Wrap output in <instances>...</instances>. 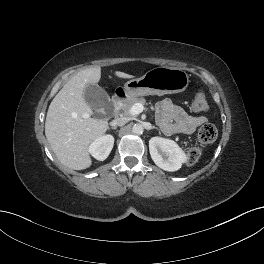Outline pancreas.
I'll return each mask as SVG.
<instances>
[{"instance_id": "cf45deb5", "label": "pancreas", "mask_w": 264, "mask_h": 264, "mask_svg": "<svg viewBox=\"0 0 264 264\" xmlns=\"http://www.w3.org/2000/svg\"><path fill=\"white\" fill-rule=\"evenodd\" d=\"M136 103H141L142 105H145L146 100L143 97H140V98L132 97V98H128V99L121 101L119 107L122 110L123 115L126 117H130L131 114L129 110Z\"/></svg>"}]
</instances>
